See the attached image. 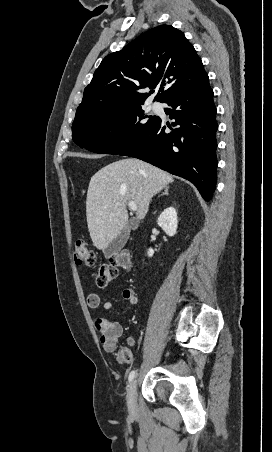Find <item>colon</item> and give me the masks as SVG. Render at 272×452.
Returning <instances> with one entry per match:
<instances>
[{"mask_svg":"<svg viewBox=\"0 0 272 452\" xmlns=\"http://www.w3.org/2000/svg\"><path fill=\"white\" fill-rule=\"evenodd\" d=\"M74 262L77 266H94L96 256L89 244L84 240H78L75 245ZM131 269V256L129 252H120L110 257L108 263L101 264L95 273L96 284L100 287L110 285L118 276L120 270ZM132 353L128 349H122L118 355L119 362L130 363Z\"/></svg>","mask_w":272,"mask_h":452,"instance_id":"obj_1","label":"colon"}]
</instances>
